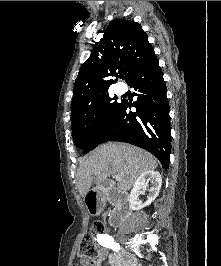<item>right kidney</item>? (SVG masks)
Wrapping results in <instances>:
<instances>
[{
  "label": "right kidney",
  "instance_id": "ca27d5eb",
  "mask_svg": "<svg viewBox=\"0 0 221 266\" xmlns=\"http://www.w3.org/2000/svg\"><path fill=\"white\" fill-rule=\"evenodd\" d=\"M149 182L151 183V187L149 190V195L147 196L148 200L145 203H142L141 201H139L138 195L148 186ZM161 185L162 176L158 171L149 170L142 173L135 181L130 194L131 208L133 210H140L150 205L158 196Z\"/></svg>",
  "mask_w": 221,
  "mask_h": 266
}]
</instances>
